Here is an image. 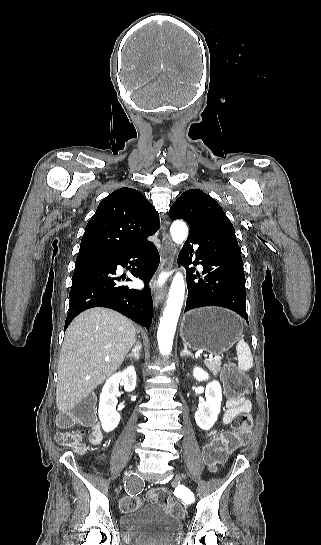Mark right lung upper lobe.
I'll use <instances>...</instances> for the list:
<instances>
[{
	"label": "right lung upper lobe",
	"mask_w": 321,
	"mask_h": 545,
	"mask_svg": "<svg viewBox=\"0 0 321 545\" xmlns=\"http://www.w3.org/2000/svg\"><path fill=\"white\" fill-rule=\"evenodd\" d=\"M159 214L139 191L123 187L102 200L88 222L75 264L120 257L159 229Z\"/></svg>",
	"instance_id": "1"
}]
</instances>
